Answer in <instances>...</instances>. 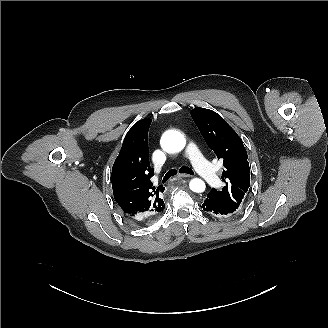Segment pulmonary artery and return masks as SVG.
<instances>
[{
	"mask_svg": "<svg viewBox=\"0 0 328 328\" xmlns=\"http://www.w3.org/2000/svg\"><path fill=\"white\" fill-rule=\"evenodd\" d=\"M186 159L193 165V170L196 174L200 175L203 178H207L208 181L212 184H215L219 181L220 175L215 170L214 166L206 160L205 155L202 153L195 142H188Z\"/></svg>",
	"mask_w": 328,
	"mask_h": 328,
	"instance_id": "pulmonary-artery-1",
	"label": "pulmonary artery"
}]
</instances>
